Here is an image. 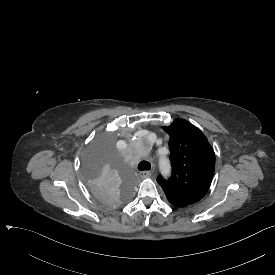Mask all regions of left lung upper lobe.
I'll list each match as a JSON object with an SVG mask.
<instances>
[{
  "mask_svg": "<svg viewBox=\"0 0 275 275\" xmlns=\"http://www.w3.org/2000/svg\"><path fill=\"white\" fill-rule=\"evenodd\" d=\"M170 135L172 176H158L167 199L176 207L199 201L208 191L215 168V154L205 135L184 119L164 127Z\"/></svg>",
  "mask_w": 275,
  "mask_h": 275,
  "instance_id": "left-lung-upper-lobe-1",
  "label": "left lung upper lobe"
}]
</instances>
